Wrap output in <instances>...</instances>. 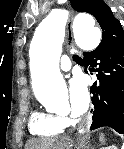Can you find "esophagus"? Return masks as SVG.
<instances>
[{"mask_svg": "<svg viewBox=\"0 0 124 149\" xmlns=\"http://www.w3.org/2000/svg\"><path fill=\"white\" fill-rule=\"evenodd\" d=\"M72 20H73V13H71V17H70V19L68 21V24H67L68 30H67L66 40H67V43L69 45H72L73 44ZM92 116H93V107L91 106L90 111H89L88 123H87V126L88 127L91 124Z\"/></svg>", "mask_w": 124, "mask_h": 149, "instance_id": "34e87169", "label": "esophagus"}]
</instances>
